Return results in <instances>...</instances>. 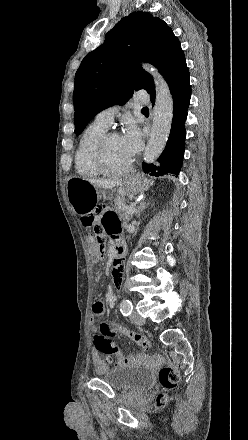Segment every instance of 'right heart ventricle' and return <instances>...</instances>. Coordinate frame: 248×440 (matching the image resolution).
Listing matches in <instances>:
<instances>
[{
  "mask_svg": "<svg viewBox=\"0 0 248 440\" xmlns=\"http://www.w3.org/2000/svg\"><path fill=\"white\" fill-rule=\"evenodd\" d=\"M108 128L94 121L83 132L75 152V169L79 175L96 178L102 175L93 161L94 148Z\"/></svg>",
  "mask_w": 248,
  "mask_h": 440,
  "instance_id": "right-heart-ventricle-1",
  "label": "right heart ventricle"
}]
</instances>
